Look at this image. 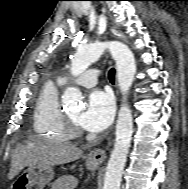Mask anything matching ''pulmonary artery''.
<instances>
[{
  "instance_id": "pulmonary-artery-1",
  "label": "pulmonary artery",
  "mask_w": 188,
  "mask_h": 189,
  "mask_svg": "<svg viewBox=\"0 0 188 189\" xmlns=\"http://www.w3.org/2000/svg\"><path fill=\"white\" fill-rule=\"evenodd\" d=\"M98 75H99L98 71L90 70L74 79L69 80L66 78H60L59 84L60 85L77 84L83 87H93L98 82Z\"/></svg>"
}]
</instances>
